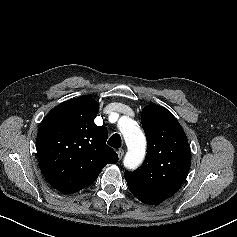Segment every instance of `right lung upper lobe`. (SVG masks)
Here are the masks:
<instances>
[{
	"label": "right lung upper lobe",
	"instance_id": "right-lung-upper-lobe-1",
	"mask_svg": "<svg viewBox=\"0 0 237 237\" xmlns=\"http://www.w3.org/2000/svg\"><path fill=\"white\" fill-rule=\"evenodd\" d=\"M98 102L80 96L54 107L37 134V155L43 175L64 194L75 193L95 182L103 167L118 161L106 145L107 128L94 119Z\"/></svg>",
	"mask_w": 237,
	"mask_h": 237
}]
</instances>
